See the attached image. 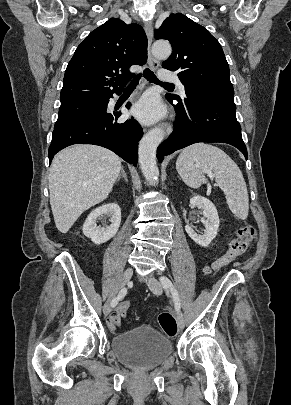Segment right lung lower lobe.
<instances>
[{
  "label": "right lung lower lobe",
  "instance_id": "right-lung-lower-lobe-1",
  "mask_svg": "<svg viewBox=\"0 0 291 405\" xmlns=\"http://www.w3.org/2000/svg\"><path fill=\"white\" fill-rule=\"evenodd\" d=\"M117 92L116 94H120ZM109 98H112L110 96ZM106 99V105L109 102ZM130 107V103L126 105ZM120 112H108L106 108L66 125L54 128L48 156L51 163L54 155L73 144H94L110 149L125 161L137 166L138 141L143 135L140 124L135 119L117 123Z\"/></svg>",
  "mask_w": 291,
  "mask_h": 405
}]
</instances>
